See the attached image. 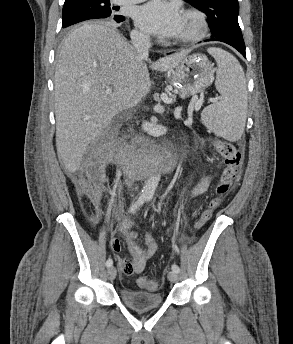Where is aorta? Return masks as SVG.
Listing matches in <instances>:
<instances>
[{
  "label": "aorta",
  "instance_id": "obj_1",
  "mask_svg": "<svg viewBox=\"0 0 293 344\" xmlns=\"http://www.w3.org/2000/svg\"><path fill=\"white\" fill-rule=\"evenodd\" d=\"M159 182V175L157 173L150 175V177L146 180L145 185L143 187V195L147 197H152L155 193V190L158 186Z\"/></svg>",
  "mask_w": 293,
  "mask_h": 344
}]
</instances>
